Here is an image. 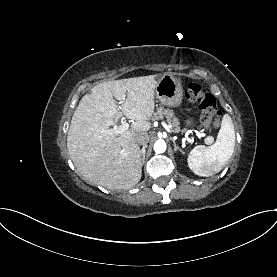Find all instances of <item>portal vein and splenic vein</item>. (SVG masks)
Here are the masks:
<instances>
[{
  "instance_id": "obj_1",
  "label": "portal vein and splenic vein",
  "mask_w": 277,
  "mask_h": 277,
  "mask_svg": "<svg viewBox=\"0 0 277 277\" xmlns=\"http://www.w3.org/2000/svg\"><path fill=\"white\" fill-rule=\"evenodd\" d=\"M122 100L124 101L125 98L123 97ZM162 126L169 132H174L170 126H168L164 121L161 122ZM129 129V123H127L126 121H123L122 124L118 127H114L113 129H111V131L115 134V135H120L122 134L124 131ZM199 137H206L205 138V143L206 144H211L213 142V137L211 136H206L205 133H198Z\"/></svg>"
}]
</instances>
